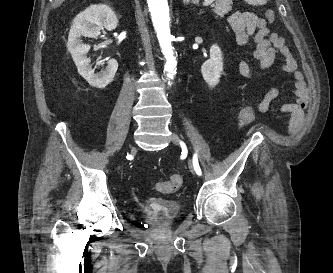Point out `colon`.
Wrapping results in <instances>:
<instances>
[{
  "mask_svg": "<svg viewBox=\"0 0 333 273\" xmlns=\"http://www.w3.org/2000/svg\"><path fill=\"white\" fill-rule=\"evenodd\" d=\"M265 17L268 22H273L275 19V12L273 10H267ZM240 123L246 125L251 123L255 119V109L253 106H244L239 115ZM182 177L178 174L171 175L168 179L159 181L156 184V188L161 193H174L182 186Z\"/></svg>",
  "mask_w": 333,
  "mask_h": 273,
  "instance_id": "colon-1",
  "label": "colon"
}]
</instances>
